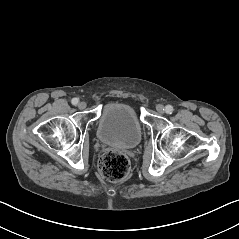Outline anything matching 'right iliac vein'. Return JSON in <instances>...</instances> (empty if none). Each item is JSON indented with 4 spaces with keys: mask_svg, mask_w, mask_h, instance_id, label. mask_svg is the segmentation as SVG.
I'll return each mask as SVG.
<instances>
[{
    "mask_svg": "<svg viewBox=\"0 0 239 239\" xmlns=\"http://www.w3.org/2000/svg\"><path fill=\"white\" fill-rule=\"evenodd\" d=\"M86 106H87V104H86L85 102H80V103L78 104V108H79V109H85Z\"/></svg>",
    "mask_w": 239,
    "mask_h": 239,
    "instance_id": "63e3f726",
    "label": "right iliac vein"
}]
</instances>
